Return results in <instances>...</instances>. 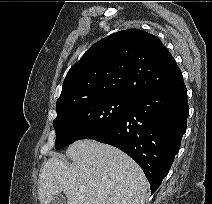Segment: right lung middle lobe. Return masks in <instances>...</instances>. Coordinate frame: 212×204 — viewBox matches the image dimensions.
Segmentation results:
<instances>
[{
  "label": "right lung middle lobe",
  "instance_id": "right-lung-middle-lobe-1",
  "mask_svg": "<svg viewBox=\"0 0 212 204\" xmlns=\"http://www.w3.org/2000/svg\"><path fill=\"white\" fill-rule=\"evenodd\" d=\"M131 101L124 96H105L56 109L57 117L53 121L56 149L87 139L116 124L129 110Z\"/></svg>",
  "mask_w": 212,
  "mask_h": 204
}]
</instances>
